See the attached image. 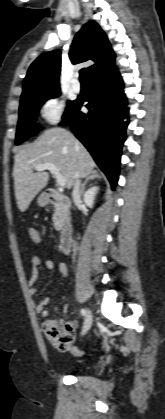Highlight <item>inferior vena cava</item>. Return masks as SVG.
Instances as JSON below:
<instances>
[{
	"instance_id": "obj_1",
	"label": "inferior vena cava",
	"mask_w": 165,
	"mask_h": 419,
	"mask_svg": "<svg viewBox=\"0 0 165 419\" xmlns=\"http://www.w3.org/2000/svg\"><path fill=\"white\" fill-rule=\"evenodd\" d=\"M80 178H81L80 174L78 172L75 173L74 188H73V191H72V198H73L74 202L77 201L80 198V194H81V191H80L81 180H80Z\"/></svg>"
}]
</instances>
